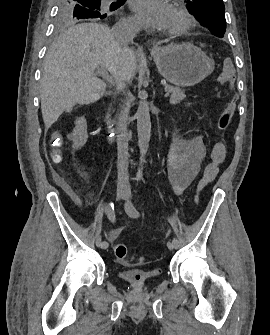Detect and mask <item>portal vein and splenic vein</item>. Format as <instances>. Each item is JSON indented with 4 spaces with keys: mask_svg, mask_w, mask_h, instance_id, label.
<instances>
[{
    "mask_svg": "<svg viewBox=\"0 0 270 335\" xmlns=\"http://www.w3.org/2000/svg\"><path fill=\"white\" fill-rule=\"evenodd\" d=\"M100 75L102 76L103 80H107V83H112V86H115L116 80H112L113 76L108 75V72L101 71ZM170 94L168 92L164 93V98H168Z\"/></svg>",
    "mask_w": 270,
    "mask_h": 335,
    "instance_id": "1",
    "label": "portal vein and splenic vein"
}]
</instances>
